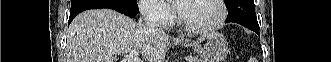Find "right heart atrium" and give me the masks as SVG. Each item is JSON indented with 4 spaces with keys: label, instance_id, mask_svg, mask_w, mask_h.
Instances as JSON below:
<instances>
[{
    "label": "right heart atrium",
    "instance_id": "obj_1",
    "mask_svg": "<svg viewBox=\"0 0 331 62\" xmlns=\"http://www.w3.org/2000/svg\"><path fill=\"white\" fill-rule=\"evenodd\" d=\"M138 6L146 19L166 26L172 22L173 13L164 1L141 0Z\"/></svg>",
    "mask_w": 331,
    "mask_h": 62
}]
</instances>
